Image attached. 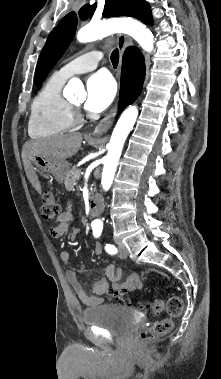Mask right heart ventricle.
<instances>
[{"label":"right heart ventricle","instance_id":"obj_1","mask_svg":"<svg viewBox=\"0 0 221 379\" xmlns=\"http://www.w3.org/2000/svg\"><path fill=\"white\" fill-rule=\"evenodd\" d=\"M65 81L54 73L34 97L28 120V134L32 138L57 136L74 126L71 104L62 95Z\"/></svg>","mask_w":221,"mask_h":379}]
</instances>
